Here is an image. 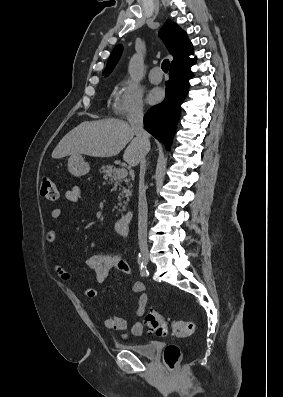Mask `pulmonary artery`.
<instances>
[{
  "label": "pulmonary artery",
  "instance_id": "1",
  "mask_svg": "<svg viewBox=\"0 0 283 397\" xmlns=\"http://www.w3.org/2000/svg\"><path fill=\"white\" fill-rule=\"evenodd\" d=\"M149 80L154 84H158L162 81V72L160 67L155 66L151 69L149 73Z\"/></svg>",
  "mask_w": 283,
  "mask_h": 397
}]
</instances>
